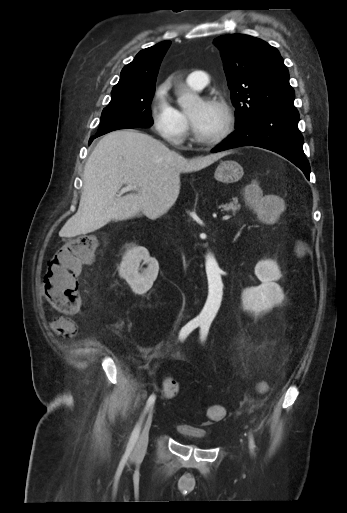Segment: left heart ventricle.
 <instances>
[{
    "label": "left heart ventricle",
    "instance_id": "obj_1",
    "mask_svg": "<svg viewBox=\"0 0 347 513\" xmlns=\"http://www.w3.org/2000/svg\"><path fill=\"white\" fill-rule=\"evenodd\" d=\"M197 133L206 139L218 135L225 124L223 110L212 103L197 101L189 111Z\"/></svg>",
    "mask_w": 347,
    "mask_h": 513
}]
</instances>
